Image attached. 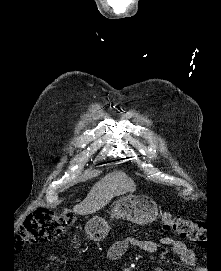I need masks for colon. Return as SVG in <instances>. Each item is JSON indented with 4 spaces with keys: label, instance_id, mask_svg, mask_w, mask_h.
Wrapping results in <instances>:
<instances>
[{
    "label": "colon",
    "instance_id": "colon-1",
    "mask_svg": "<svg viewBox=\"0 0 221 271\" xmlns=\"http://www.w3.org/2000/svg\"><path fill=\"white\" fill-rule=\"evenodd\" d=\"M73 220V214L67 209H64L61 215H56L50 207L36 208L25 218L17 233L16 243L22 249L25 245L51 242L66 233ZM162 221L166 229L176 232L184 239L200 246L208 242V232L204 224L167 212L163 213Z\"/></svg>",
    "mask_w": 221,
    "mask_h": 271
}]
</instances>
